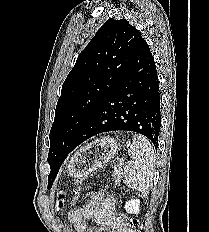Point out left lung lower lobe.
I'll return each instance as SVG.
<instances>
[{
	"label": "left lung lower lobe",
	"instance_id": "0a47b994",
	"mask_svg": "<svg viewBox=\"0 0 209 232\" xmlns=\"http://www.w3.org/2000/svg\"><path fill=\"white\" fill-rule=\"evenodd\" d=\"M161 127L156 65L144 38L118 84L77 134L72 150L89 138L109 131H133L157 148Z\"/></svg>",
	"mask_w": 209,
	"mask_h": 232
}]
</instances>
